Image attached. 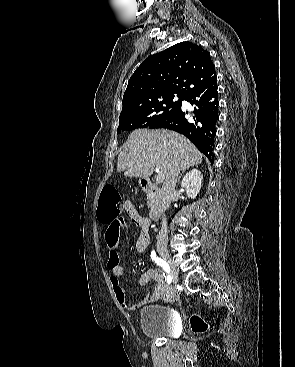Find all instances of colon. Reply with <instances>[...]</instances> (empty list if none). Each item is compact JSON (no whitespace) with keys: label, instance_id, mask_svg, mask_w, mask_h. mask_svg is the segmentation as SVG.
<instances>
[{"label":"colon","instance_id":"5ec220e1","mask_svg":"<svg viewBox=\"0 0 295 367\" xmlns=\"http://www.w3.org/2000/svg\"><path fill=\"white\" fill-rule=\"evenodd\" d=\"M124 209V202L116 190V188L108 184L104 186L99 201V219L103 223L119 218V214ZM190 325L195 333L206 331V322L198 315H194L190 319Z\"/></svg>","mask_w":295,"mask_h":367}]
</instances>
